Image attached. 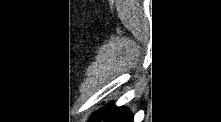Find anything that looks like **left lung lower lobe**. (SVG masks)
Here are the masks:
<instances>
[{
  "label": "left lung lower lobe",
  "mask_w": 221,
  "mask_h": 122,
  "mask_svg": "<svg viewBox=\"0 0 221 122\" xmlns=\"http://www.w3.org/2000/svg\"><path fill=\"white\" fill-rule=\"evenodd\" d=\"M102 119L109 122H133V115L124 107H116L110 104L97 111L90 118L91 121Z\"/></svg>",
  "instance_id": "obj_1"
}]
</instances>
